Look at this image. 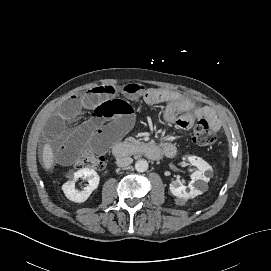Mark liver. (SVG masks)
Returning <instances> with one entry per match:
<instances>
[{
    "mask_svg": "<svg viewBox=\"0 0 271 271\" xmlns=\"http://www.w3.org/2000/svg\"><path fill=\"white\" fill-rule=\"evenodd\" d=\"M42 159L45 170H50L54 165V153L49 143L43 147Z\"/></svg>",
    "mask_w": 271,
    "mask_h": 271,
    "instance_id": "1",
    "label": "liver"
}]
</instances>
